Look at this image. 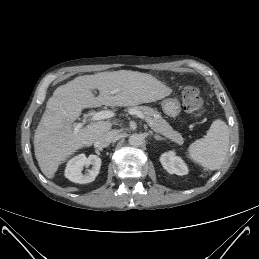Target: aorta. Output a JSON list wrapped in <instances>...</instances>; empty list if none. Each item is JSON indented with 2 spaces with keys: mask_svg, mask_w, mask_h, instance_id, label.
I'll return each instance as SVG.
<instances>
[{
  "mask_svg": "<svg viewBox=\"0 0 259 259\" xmlns=\"http://www.w3.org/2000/svg\"><path fill=\"white\" fill-rule=\"evenodd\" d=\"M128 142L133 147H139L143 143V137L140 134H132L129 136Z\"/></svg>",
  "mask_w": 259,
  "mask_h": 259,
  "instance_id": "obj_1",
  "label": "aorta"
}]
</instances>
